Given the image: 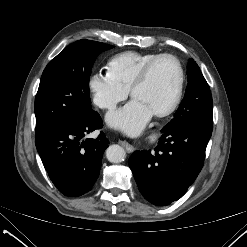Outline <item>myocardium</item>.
I'll return each mask as SVG.
<instances>
[{
	"label": "myocardium",
	"mask_w": 247,
	"mask_h": 247,
	"mask_svg": "<svg viewBox=\"0 0 247 247\" xmlns=\"http://www.w3.org/2000/svg\"><path fill=\"white\" fill-rule=\"evenodd\" d=\"M164 58L171 59L175 62L177 66V70H178V80H177L174 95L171 101L168 103V105L161 110L153 111V115L158 116V117H164L172 113L177 108V106L179 105L181 101V97L183 93V84H184V71H183V67L181 65L180 60L176 56L172 54H168V53L159 54L155 56L143 66V68L137 74L136 78L134 79V81L132 82L130 86V95L131 97L134 98L135 91L137 90L139 86H141L145 82L153 66L158 61Z\"/></svg>",
	"instance_id": "obj_1"
}]
</instances>
